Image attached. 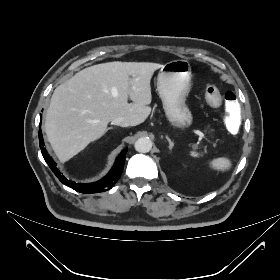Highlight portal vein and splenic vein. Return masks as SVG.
Instances as JSON below:
<instances>
[{
	"instance_id": "portal-vein-and-splenic-vein-1",
	"label": "portal vein and splenic vein",
	"mask_w": 280,
	"mask_h": 280,
	"mask_svg": "<svg viewBox=\"0 0 280 280\" xmlns=\"http://www.w3.org/2000/svg\"><path fill=\"white\" fill-rule=\"evenodd\" d=\"M195 133L198 134L201 138H205V135L201 131L195 130Z\"/></svg>"
}]
</instances>
